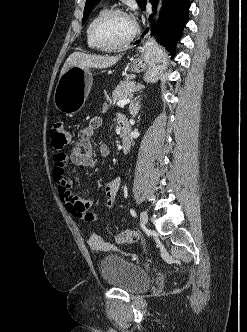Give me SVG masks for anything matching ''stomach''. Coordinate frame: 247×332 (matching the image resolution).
<instances>
[{
	"label": "stomach",
	"instance_id": "obj_1",
	"mask_svg": "<svg viewBox=\"0 0 247 332\" xmlns=\"http://www.w3.org/2000/svg\"><path fill=\"white\" fill-rule=\"evenodd\" d=\"M168 57L156 43H146L142 56L134 61L130 70L140 73L146 70L145 79L156 81L166 68ZM93 83L92 73L88 67L72 66L60 76L55 92L54 105L60 112L72 116L78 113L90 93Z\"/></svg>",
	"mask_w": 247,
	"mask_h": 332
}]
</instances>
